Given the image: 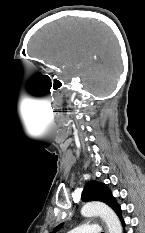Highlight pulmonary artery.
Masks as SVG:
<instances>
[{
	"label": "pulmonary artery",
	"instance_id": "e3ab8cb5",
	"mask_svg": "<svg viewBox=\"0 0 145 233\" xmlns=\"http://www.w3.org/2000/svg\"><path fill=\"white\" fill-rule=\"evenodd\" d=\"M100 227L96 224L88 223L79 227H76L68 233H99L100 232Z\"/></svg>",
	"mask_w": 145,
	"mask_h": 233
}]
</instances>
